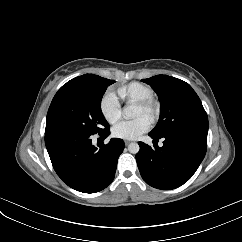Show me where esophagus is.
Wrapping results in <instances>:
<instances>
[{"instance_id": "34e87169", "label": "esophagus", "mask_w": 242, "mask_h": 242, "mask_svg": "<svg viewBox=\"0 0 242 242\" xmlns=\"http://www.w3.org/2000/svg\"><path fill=\"white\" fill-rule=\"evenodd\" d=\"M125 144H126V145L130 144V141H125Z\"/></svg>"}]
</instances>
